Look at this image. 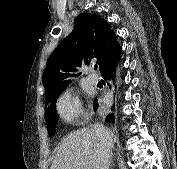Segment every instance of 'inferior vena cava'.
I'll list each match as a JSON object with an SVG mask.
<instances>
[{
  "instance_id": "obj_1",
  "label": "inferior vena cava",
  "mask_w": 177,
  "mask_h": 169,
  "mask_svg": "<svg viewBox=\"0 0 177 169\" xmlns=\"http://www.w3.org/2000/svg\"><path fill=\"white\" fill-rule=\"evenodd\" d=\"M92 130L96 134L99 146L102 166L101 169H110L112 161V148H113V139L109 131L102 125L95 124L92 127Z\"/></svg>"
}]
</instances>
